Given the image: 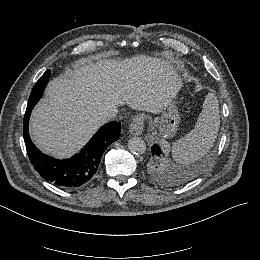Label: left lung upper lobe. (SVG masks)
<instances>
[{
	"instance_id": "5c2ea615",
	"label": "left lung upper lobe",
	"mask_w": 260,
	"mask_h": 260,
	"mask_svg": "<svg viewBox=\"0 0 260 260\" xmlns=\"http://www.w3.org/2000/svg\"><path fill=\"white\" fill-rule=\"evenodd\" d=\"M151 157H152V161H150L148 165L149 172L151 173V175L163 183H168V184L175 183V178L172 174L162 169H158V166H155L154 162H156L157 158L155 157L153 152Z\"/></svg>"
}]
</instances>
